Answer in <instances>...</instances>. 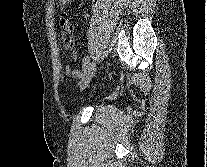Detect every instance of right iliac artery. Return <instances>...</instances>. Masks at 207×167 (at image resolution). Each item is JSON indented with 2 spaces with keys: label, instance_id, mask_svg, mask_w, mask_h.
I'll list each match as a JSON object with an SVG mask.
<instances>
[{
  "label": "right iliac artery",
  "instance_id": "obj_1",
  "mask_svg": "<svg viewBox=\"0 0 207 167\" xmlns=\"http://www.w3.org/2000/svg\"><path fill=\"white\" fill-rule=\"evenodd\" d=\"M89 61H90V59H89V57H87L86 60L83 62L82 68H83L84 71H85V69L87 68V66L89 64Z\"/></svg>",
  "mask_w": 207,
  "mask_h": 167
}]
</instances>
